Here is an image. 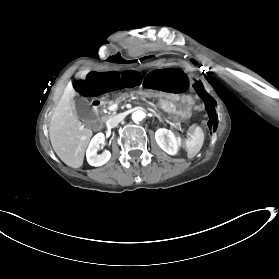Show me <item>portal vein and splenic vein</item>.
Returning <instances> with one entry per match:
<instances>
[{
  "label": "portal vein and splenic vein",
  "mask_w": 279,
  "mask_h": 279,
  "mask_svg": "<svg viewBox=\"0 0 279 279\" xmlns=\"http://www.w3.org/2000/svg\"><path fill=\"white\" fill-rule=\"evenodd\" d=\"M116 108H117V105H111V106L108 107V110H114ZM162 121L165 122L166 124L172 126V128L183 130V127L178 126V125H173V123H171L170 121H168L165 118H162ZM181 134H184V131H181Z\"/></svg>",
  "instance_id": "portal-vein-and-splenic-vein-1"
}]
</instances>
